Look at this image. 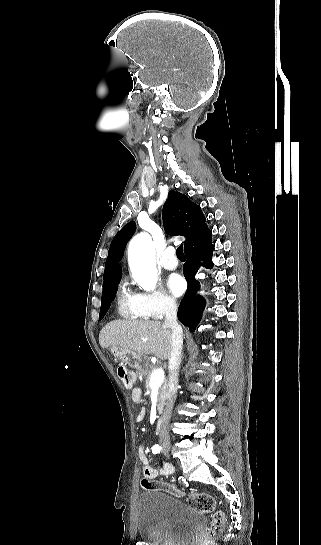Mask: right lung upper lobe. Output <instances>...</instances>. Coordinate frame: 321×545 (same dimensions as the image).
Instances as JSON below:
<instances>
[{"instance_id":"cb5924a9","label":"right lung upper lobe","mask_w":321,"mask_h":545,"mask_svg":"<svg viewBox=\"0 0 321 545\" xmlns=\"http://www.w3.org/2000/svg\"><path fill=\"white\" fill-rule=\"evenodd\" d=\"M162 216L168 234L186 237L184 245L207 226L200 207L184 194L175 191L169 192ZM135 229V223L130 222L113 238L105 264L103 290L118 285L120 282L121 266L118 262Z\"/></svg>"}]
</instances>
